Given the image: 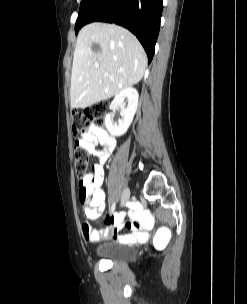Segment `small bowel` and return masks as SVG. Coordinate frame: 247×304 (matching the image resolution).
Returning a JSON list of instances; mask_svg holds the SVG:
<instances>
[{
    "label": "small bowel",
    "instance_id": "small-bowel-1",
    "mask_svg": "<svg viewBox=\"0 0 247 304\" xmlns=\"http://www.w3.org/2000/svg\"><path fill=\"white\" fill-rule=\"evenodd\" d=\"M79 142L89 154L98 160L92 166L91 172L82 179L81 188L84 191V201L80 200L84 216L89 220H97L105 208V191L101 187L104 180V166L116 148V140L104 128L91 126L81 136ZM98 145L102 148L97 149ZM152 225V217L140 206H135L131 212L130 220L124 221L121 217L111 216L99 229H92L87 224H83L82 233L88 242L112 238L119 243H141L146 241L147 232ZM123 228L131 230V233L121 234Z\"/></svg>",
    "mask_w": 247,
    "mask_h": 304
}]
</instances>
